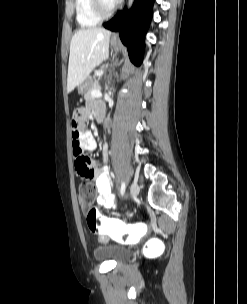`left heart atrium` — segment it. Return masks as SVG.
I'll return each instance as SVG.
<instances>
[{
    "instance_id": "1",
    "label": "left heart atrium",
    "mask_w": 247,
    "mask_h": 304,
    "mask_svg": "<svg viewBox=\"0 0 247 304\" xmlns=\"http://www.w3.org/2000/svg\"><path fill=\"white\" fill-rule=\"evenodd\" d=\"M113 1L116 3V2H118V1H120V0H113Z\"/></svg>"
}]
</instances>
